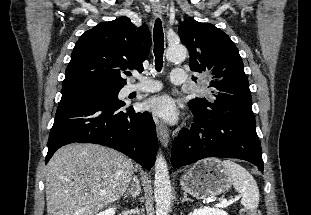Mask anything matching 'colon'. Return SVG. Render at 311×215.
I'll return each mask as SVG.
<instances>
[{
	"label": "colon",
	"instance_id": "1",
	"mask_svg": "<svg viewBox=\"0 0 311 215\" xmlns=\"http://www.w3.org/2000/svg\"><path fill=\"white\" fill-rule=\"evenodd\" d=\"M240 215H262L259 211L257 210H241Z\"/></svg>",
	"mask_w": 311,
	"mask_h": 215
}]
</instances>
